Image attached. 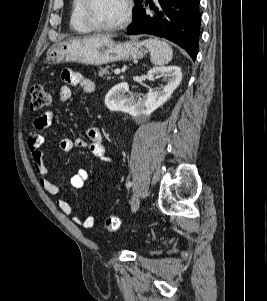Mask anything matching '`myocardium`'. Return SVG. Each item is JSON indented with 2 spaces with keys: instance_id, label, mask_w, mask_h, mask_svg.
<instances>
[{
  "instance_id": "f54148a6",
  "label": "myocardium",
  "mask_w": 267,
  "mask_h": 301,
  "mask_svg": "<svg viewBox=\"0 0 267 301\" xmlns=\"http://www.w3.org/2000/svg\"><path fill=\"white\" fill-rule=\"evenodd\" d=\"M94 0H84L83 4V16L87 24L93 28L94 30L97 31H105V32H110V31H116L119 30L123 27H125L131 19L132 12H133V1L132 0H124L125 3V10L123 13V16L121 19L110 25H103L98 23L92 16L91 9L93 6Z\"/></svg>"
}]
</instances>
